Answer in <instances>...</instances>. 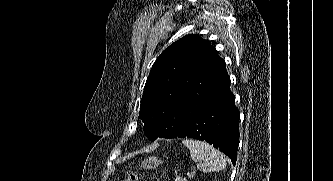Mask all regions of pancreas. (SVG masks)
<instances>
[{"label":"pancreas","mask_w":333,"mask_h":181,"mask_svg":"<svg viewBox=\"0 0 333 181\" xmlns=\"http://www.w3.org/2000/svg\"><path fill=\"white\" fill-rule=\"evenodd\" d=\"M174 181H186V179H183L181 177H177Z\"/></svg>","instance_id":"cf45deb5"}]
</instances>
